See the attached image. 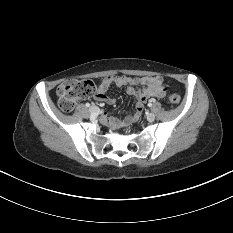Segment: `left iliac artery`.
Returning a JSON list of instances; mask_svg holds the SVG:
<instances>
[{
  "mask_svg": "<svg viewBox=\"0 0 233 233\" xmlns=\"http://www.w3.org/2000/svg\"><path fill=\"white\" fill-rule=\"evenodd\" d=\"M151 102H152V101H150V102L148 103V106H149V107H151V106H152V103H151Z\"/></svg>",
  "mask_w": 233,
  "mask_h": 233,
  "instance_id": "obj_1",
  "label": "left iliac artery"
}]
</instances>
